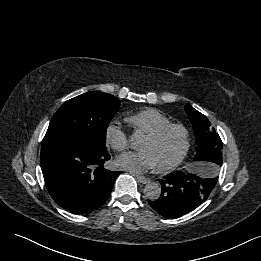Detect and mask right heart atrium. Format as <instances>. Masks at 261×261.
Listing matches in <instances>:
<instances>
[{"label": "right heart atrium", "instance_id": "1", "mask_svg": "<svg viewBox=\"0 0 261 261\" xmlns=\"http://www.w3.org/2000/svg\"><path fill=\"white\" fill-rule=\"evenodd\" d=\"M104 135L106 143L117 152H122L129 146L127 133L114 122L106 126Z\"/></svg>", "mask_w": 261, "mask_h": 261}]
</instances>
